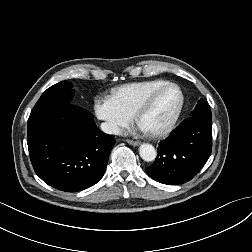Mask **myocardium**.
I'll list each match as a JSON object with an SVG mask.
<instances>
[{"label":"myocardium","mask_w":252,"mask_h":252,"mask_svg":"<svg viewBox=\"0 0 252 252\" xmlns=\"http://www.w3.org/2000/svg\"><path fill=\"white\" fill-rule=\"evenodd\" d=\"M169 87H175L179 90L180 95H181V100H180V104L175 112V114L173 115L171 121L163 128L159 129V130H153V131H147V133L155 138H159V137H164L168 134H170L173 129L175 128L183 110L185 107V93L182 89V87L174 82H167L157 88H155L154 90H152L147 96L146 98L140 103V105L137 107L136 111H135V119L137 121V123H139L141 125V119L144 115V113L152 106L155 98L158 96V94L160 92H162L164 89L169 88Z\"/></svg>","instance_id":"obj_1"}]
</instances>
